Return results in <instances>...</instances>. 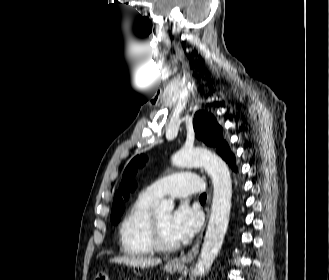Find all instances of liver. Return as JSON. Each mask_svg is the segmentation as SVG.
I'll use <instances>...</instances> for the list:
<instances>
[{
  "label": "liver",
  "instance_id": "6515ba94",
  "mask_svg": "<svg viewBox=\"0 0 329 280\" xmlns=\"http://www.w3.org/2000/svg\"><path fill=\"white\" fill-rule=\"evenodd\" d=\"M110 262L124 264L126 266H132L136 268H148L159 265L161 263V260L144 256H118L111 258Z\"/></svg>",
  "mask_w": 329,
  "mask_h": 280
}]
</instances>
